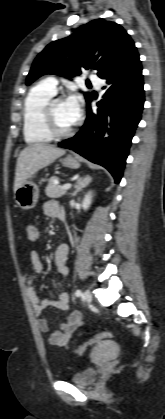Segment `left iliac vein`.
Listing matches in <instances>:
<instances>
[{"label": "left iliac vein", "mask_w": 165, "mask_h": 419, "mask_svg": "<svg viewBox=\"0 0 165 419\" xmlns=\"http://www.w3.org/2000/svg\"><path fill=\"white\" fill-rule=\"evenodd\" d=\"M83 298L85 300V302L90 303L92 301V294L89 290H86L84 292Z\"/></svg>", "instance_id": "left-iliac-vein-1"}]
</instances>
